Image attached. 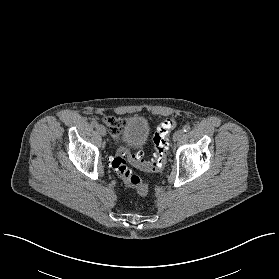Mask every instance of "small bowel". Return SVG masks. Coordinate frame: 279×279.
<instances>
[{
	"label": "small bowel",
	"instance_id": "small-bowel-1",
	"mask_svg": "<svg viewBox=\"0 0 279 279\" xmlns=\"http://www.w3.org/2000/svg\"><path fill=\"white\" fill-rule=\"evenodd\" d=\"M104 122L106 123V125L108 126V128L110 129V131L114 134L117 135L121 128L124 125V121L118 118H113V117H105L104 118ZM116 123L118 125H116Z\"/></svg>",
	"mask_w": 279,
	"mask_h": 279
}]
</instances>
